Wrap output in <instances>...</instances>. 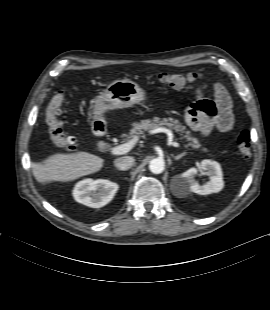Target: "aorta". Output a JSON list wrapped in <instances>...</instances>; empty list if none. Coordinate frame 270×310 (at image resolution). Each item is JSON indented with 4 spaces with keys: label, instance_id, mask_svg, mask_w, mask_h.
Returning <instances> with one entry per match:
<instances>
[{
    "label": "aorta",
    "instance_id": "762f6f07",
    "mask_svg": "<svg viewBox=\"0 0 270 310\" xmlns=\"http://www.w3.org/2000/svg\"><path fill=\"white\" fill-rule=\"evenodd\" d=\"M149 169L154 174H160L165 169V163L160 158L152 159L149 163Z\"/></svg>",
    "mask_w": 270,
    "mask_h": 310
}]
</instances>
